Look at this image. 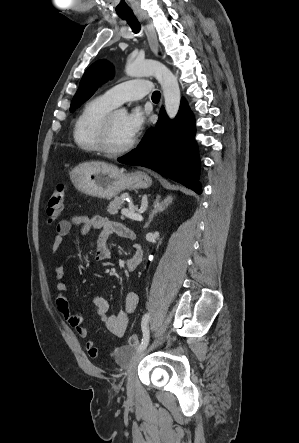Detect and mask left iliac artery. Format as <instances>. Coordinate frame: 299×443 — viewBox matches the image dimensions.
I'll return each mask as SVG.
<instances>
[{
  "label": "left iliac artery",
  "mask_w": 299,
  "mask_h": 443,
  "mask_svg": "<svg viewBox=\"0 0 299 443\" xmlns=\"http://www.w3.org/2000/svg\"><path fill=\"white\" fill-rule=\"evenodd\" d=\"M150 315L147 313L143 316L142 321H141V328H142V332H143V338H142V342L139 345L137 352H140L142 350H144L149 342V328H148V321H149Z\"/></svg>",
  "instance_id": "44dca946"
}]
</instances>
